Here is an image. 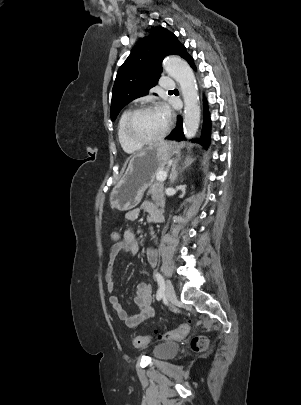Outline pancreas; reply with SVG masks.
Masks as SVG:
<instances>
[{"label": "pancreas", "instance_id": "obj_1", "mask_svg": "<svg viewBox=\"0 0 301 405\" xmlns=\"http://www.w3.org/2000/svg\"><path fill=\"white\" fill-rule=\"evenodd\" d=\"M160 171H164L163 169L158 170L157 174ZM147 195H151L152 200L158 205L163 207L165 205V197H164V184L161 181L156 182L150 190L147 192Z\"/></svg>", "mask_w": 301, "mask_h": 405}]
</instances>
